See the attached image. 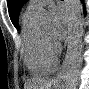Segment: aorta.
Returning a JSON list of instances; mask_svg holds the SVG:
<instances>
[{"label": "aorta", "mask_w": 89, "mask_h": 89, "mask_svg": "<svg viewBox=\"0 0 89 89\" xmlns=\"http://www.w3.org/2000/svg\"><path fill=\"white\" fill-rule=\"evenodd\" d=\"M68 15V46L66 52L63 89H76L81 66L83 50V26L80 0H67ZM51 22L50 14L41 8L37 14V23L48 25Z\"/></svg>", "instance_id": "762f6f07"}]
</instances>
